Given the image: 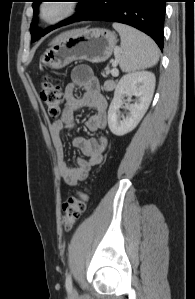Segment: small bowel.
I'll list each match as a JSON object with an SVG mask.
<instances>
[{
	"instance_id": "obj_1",
	"label": "small bowel",
	"mask_w": 195,
	"mask_h": 299,
	"mask_svg": "<svg viewBox=\"0 0 195 299\" xmlns=\"http://www.w3.org/2000/svg\"><path fill=\"white\" fill-rule=\"evenodd\" d=\"M72 81L67 84L64 92L65 105L61 117L52 122L50 130L54 138L59 163V172L64 183L74 186L88 177L90 170L98 166L104 158L108 147L105 136L95 138L75 137L72 144L80 150L87 159L77 158V166H70L64 159V132L74 127V112L88 107L94 110L86 121L85 126L90 132L103 130L107 124V100L101 92L98 79L88 67H76L71 74ZM83 90L82 96L76 95V89Z\"/></svg>"
}]
</instances>
